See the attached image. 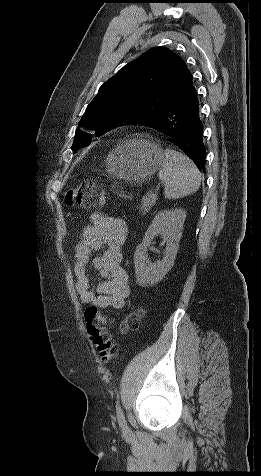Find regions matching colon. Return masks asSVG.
I'll return each instance as SVG.
<instances>
[{
	"label": "colon",
	"mask_w": 261,
	"mask_h": 476,
	"mask_svg": "<svg viewBox=\"0 0 261 476\" xmlns=\"http://www.w3.org/2000/svg\"><path fill=\"white\" fill-rule=\"evenodd\" d=\"M65 202L68 206L84 210H97L105 204V191L101 184L91 181H83L69 189L65 194ZM143 318V311L137 309L129 313L120 323V330L128 332L137 328ZM87 334L104 361H109L117 348L115 340L109 334L107 328L109 319L95 306L85 310Z\"/></svg>",
	"instance_id": "colon-1"
}]
</instances>
